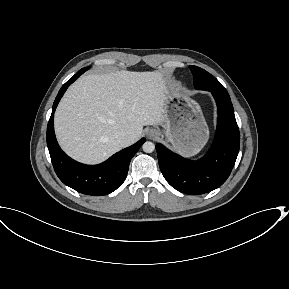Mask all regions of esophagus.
<instances>
[{
    "instance_id": "obj_1",
    "label": "esophagus",
    "mask_w": 289,
    "mask_h": 289,
    "mask_svg": "<svg viewBox=\"0 0 289 289\" xmlns=\"http://www.w3.org/2000/svg\"><path fill=\"white\" fill-rule=\"evenodd\" d=\"M147 136L148 138L152 139V138H155L157 136V133L156 131L154 130H150L148 133H147Z\"/></svg>"
}]
</instances>
